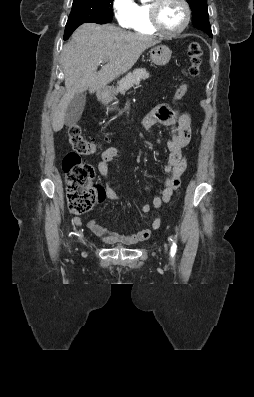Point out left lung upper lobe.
<instances>
[{
  "mask_svg": "<svg viewBox=\"0 0 254 397\" xmlns=\"http://www.w3.org/2000/svg\"><path fill=\"white\" fill-rule=\"evenodd\" d=\"M192 10V23L198 29L205 31L212 37L211 26L209 23L207 0H186Z\"/></svg>",
  "mask_w": 254,
  "mask_h": 397,
  "instance_id": "obj_1",
  "label": "left lung upper lobe"
}]
</instances>
